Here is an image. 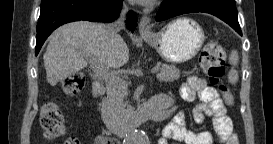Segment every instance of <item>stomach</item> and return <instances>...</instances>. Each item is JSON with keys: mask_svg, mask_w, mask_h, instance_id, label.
Masks as SVG:
<instances>
[{"mask_svg": "<svg viewBox=\"0 0 273 144\" xmlns=\"http://www.w3.org/2000/svg\"><path fill=\"white\" fill-rule=\"evenodd\" d=\"M161 57L170 63H183L192 59L205 40L202 27L190 18H179L157 34L144 37Z\"/></svg>", "mask_w": 273, "mask_h": 144, "instance_id": "1", "label": "stomach"}]
</instances>
